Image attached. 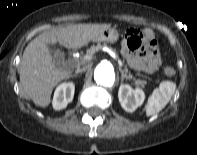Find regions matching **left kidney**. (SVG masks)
Here are the masks:
<instances>
[{"instance_id": "obj_1", "label": "left kidney", "mask_w": 197, "mask_h": 155, "mask_svg": "<svg viewBox=\"0 0 197 155\" xmlns=\"http://www.w3.org/2000/svg\"><path fill=\"white\" fill-rule=\"evenodd\" d=\"M118 98L122 108L127 112H134L145 100V93L142 89H133L128 84H121L118 91Z\"/></svg>"}]
</instances>
